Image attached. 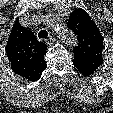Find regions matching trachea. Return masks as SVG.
Here are the masks:
<instances>
[{
  "label": "trachea",
  "instance_id": "1",
  "mask_svg": "<svg viewBox=\"0 0 113 113\" xmlns=\"http://www.w3.org/2000/svg\"><path fill=\"white\" fill-rule=\"evenodd\" d=\"M38 37H39V39H41V38L46 39L48 37L47 31L46 30L39 31Z\"/></svg>",
  "mask_w": 113,
  "mask_h": 113
}]
</instances>
